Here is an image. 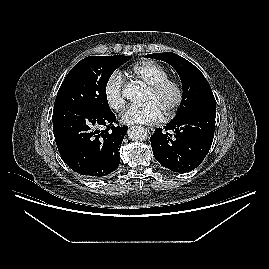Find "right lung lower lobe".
Wrapping results in <instances>:
<instances>
[{"instance_id": "obj_1", "label": "right lung lower lobe", "mask_w": 269, "mask_h": 269, "mask_svg": "<svg viewBox=\"0 0 269 269\" xmlns=\"http://www.w3.org/2000/svg\"><path fill=\"white\" fill-rule=\"evenodd\" d=\"M52 121L61 158L74 172L94 180L117 169L118 148L128 127L115 126L116 117L111 110L56 107Z\"/></svg>"}]
</instances>
